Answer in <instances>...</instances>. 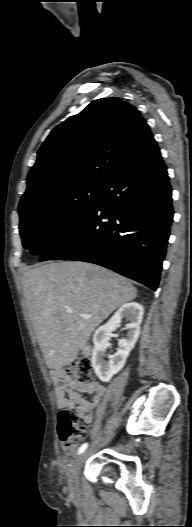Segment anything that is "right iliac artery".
<instances>
[{
	"label": "right iliac artery",
	"mask_w": 192,
	"mask_h": 527,
	"mask_svg": "<svg viewBox=\"0 0 192 527\" xmlns=\"http://www.w3.org/2000/svg\"><path fill=\"white\" fill-rule=\"evenodd\" d=\"M88 447V443H84L80 446V448L78 449V454H81L83 453Z\"/></svg>",
	"instance_id": "obj_1"
}]
</instances>
